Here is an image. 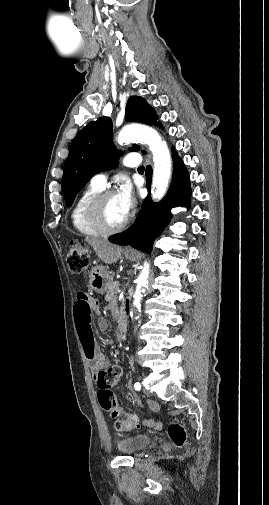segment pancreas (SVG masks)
<instances>
[{
	"instance_id": "pancreas-1",
	"label": "pancreas",
	"mask_w": 269,
	"mask_h": 505,
	"mask_svg": "<svg viewBox=\"0 0 269 505\" xmlns=\"http://www.w3.org/2000/svg\"><path fill=\"white\" fill-rule=\"evenodd\" d=\"M118 290H119L118 282H113L108 288L107 295L110 297V301L112 304L116 303L117 301Z\"/></svg>"
}]
</instances>
